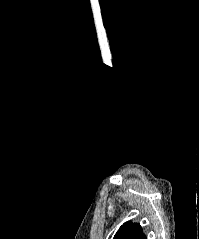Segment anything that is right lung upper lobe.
<instances>
[{"instance_id": "right-lung-upper-lobe-1", "label": "right lung upper lobe", "mask_w": 199, "mask_h": 239, "mask_svg": "<svg viewBox=\"0 0 199 239\" xmlns=\"http://www.w3.org/2000/svg\"><path fill=\"white\" fill-rule=\"evenodd\" d=\"M114 239H146V236L139 224L126 222L119 228Z\"/></svg>"}]
</instances>
